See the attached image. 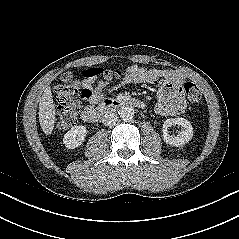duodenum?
<instances>
[{
	"instance_id": "obj_1",
	"label": "duodenum",
	"mask_w": 239,
	"mask_h": 239,
	"mask_svg": "<svg viewBox=\"0 0 239 239\" xmlns=\"http://www.w3.org/2000/svg\"><path fill=\"white\" fill-rule=\"evenodd\" d=\"M133 106L139 109H143L145 104L143 101L135 98H109L103 100L96 107H85L82 110L81 116L85 122L96 123L98 122L105 114L110 111L119 109L123 106Z\"/></svg>"
}]
</instances>
